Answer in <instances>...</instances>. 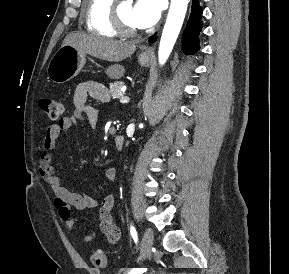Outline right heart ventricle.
Segmentation results:
<instances>
[{"label":"right heart ventricle","instance_id":"1","mask_svg":"<svg viewBox=\"0 0 289 274\" xmlns=\"http://www.w3.org/2000/svg\"><path fill=\"white\" fill-rule=\"evenodd\" d=\"M115 0H85L83 17L88 31L100 36L115 37L117 32L111 20L112 5Z\"/></svg>","mask_w":289,"mask_h":274}]
</instances>
